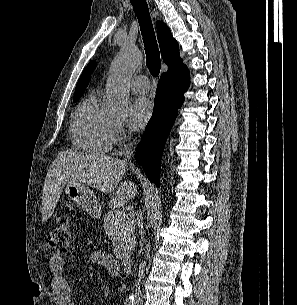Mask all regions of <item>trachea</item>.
<instances>
[{
    "label": "trachea",
    "mask_w": 297,
    "mask_h": 305,
    "mask_svg": "<svg viewBox=\"0 0 297 305\" xmlns=\"http://www.w3.org/2000/svg\"><path fill=\"white\" fill-rule=\"evenodd\" d=\"M134 12L138 18L143 36L146 65L152 76L157 77L160 73V53L152 26L149 9L146 0H130Z\"/></svg>",
    "instance_id": "3493384b"
}]
</instances>
